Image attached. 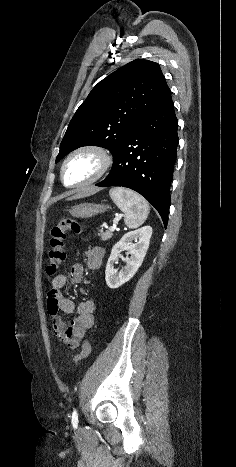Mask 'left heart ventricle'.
Segmentation results:
<instances>
[{
  "mask_svg": "<svg viewBox=\"0 0 236 467\" xmlns=\"http://www.w3.org/2000/svg\"><path fill=\"white\" fill-rule=\"evenodd\" d=\"M100 168L99 158L89 152H84L73 157L65 168V181L75 184L89 180Z\"/></svg>",
  "mask_w": 236,
  "mask_h": 467,
  "instance_id": "obj_1",
  "label": "left heart ventricle"
}]
</instances>
